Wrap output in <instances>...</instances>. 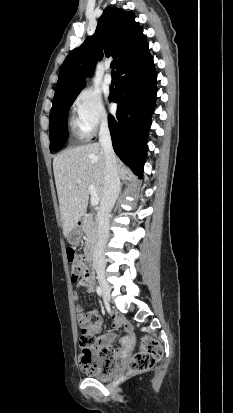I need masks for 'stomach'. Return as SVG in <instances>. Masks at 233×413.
<instances>
[{
    "mask_svg": "<svg viewBox=\"0 0 233 413\" xmlns=\"http://www.w3.org/2000/svg\"><path fill=\"white\" fill-rule=\"evenodd\" d=\"M83 236V230L80 225H75L74 228L70 231L69 235L67 236V240L72 245H78Z\"/></svg>",
    "mask_w": 233,
    "mask_h": 413,
    "instance_id": "0dacf381",
    "label": "stomach"
}]
</instances>
